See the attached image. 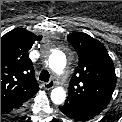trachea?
<instances>
[{"mask_svg":"<svg viewBox=\"0 0 122 122\" xmlns=\"http://www.w3.org/2000/svg\"><path fill=\"white\" fill-rule=\"evenodd\" d=\"M50 78L49 72L47 70H42L39 79L44 82H48Z\"/></svg>","mask_w":122,"mask_h":122,"instance_id":"obj_1","label":"trachea"}]
</instances>
